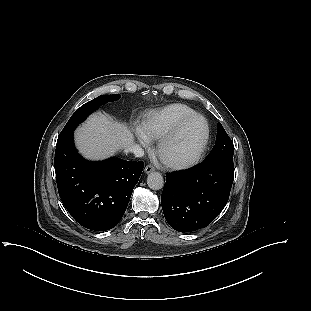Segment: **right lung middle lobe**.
Wrapping results in <instances>:
<instances>
[{"instance_id":"obj_1","label":"right lung middle lobe","mask_w":311,"mask_h":311,"mask_svg":"<svg viewBox=\"0 0 311 311\" xmlns=\"http://www.w3.org/2000/svg\"><path fill=\"white\" fill-rule=\"evenodd\" d=\"M121 97L120 94H113V95H101L75 111V113L71 116L67 124L65 125L64 129L60 133L57 142H60L73 134L74 129L77 127L79 123L84 121L88 115L94 112L98 107L107 103L116 101Z\"/></svg>"}]
</instances>
